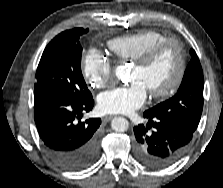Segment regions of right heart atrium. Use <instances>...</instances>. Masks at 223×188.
<instances>
[{
    "mask_svg": "<svg viewBox=\"0 0 223 188\" xmlns=\"http://www.w3.org/2000/svg\"><path fill=\"white\" fill-rule=\"evenodd\" d=\"M83 77L91 88L104 87L112 77V66L108 58L97 52H87L81 63Z\"/></svg>",
    "mask_w": 223,
    "mask_h": 188,
    "instance_id": "obj_1",
    "label": "right heart atrium"
}]
</instances>
